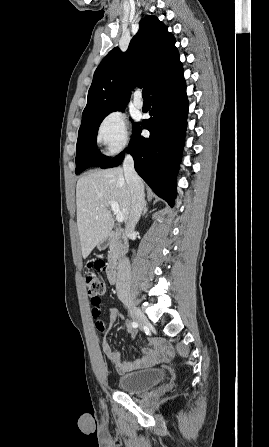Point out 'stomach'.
<instances>
[{"label": "stomach", "instance_id": "0dacf381", "mask_svg": "<svg viewBox=\"0 0 269 447\" xmlns=\"http://www.w3.org/2000/svg\"><path fill=\"white\" fill-rule=\"evenodd\" d=\"M98 247H101V243H98Z\"/></svg>", "mask_w": 269, "mask_h": 447}]
</instances>
